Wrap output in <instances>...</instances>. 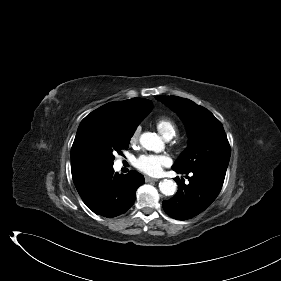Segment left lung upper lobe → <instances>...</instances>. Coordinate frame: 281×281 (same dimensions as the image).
Returning a JSON list of instances; mask_svg holds the SVG:
<instances>
[{
	"mask_svg": "<svg viewBox=\"0 0 281 281\" xmlns=\"http://www.w3.org/2000/svg\"><path fill=\"white\" fill-rule=\"evenodd\" d=\"M183 120L189 135V145L172 168L192 171L203 167L227 168L230 145L223 126L206 108L177 96H158Z\"/></svg>",
	"mask_w": 281,
	"mask_h": 281,
	"instance_id": "1",
	"label": "left lung upper lobe"
}]
</instances>
